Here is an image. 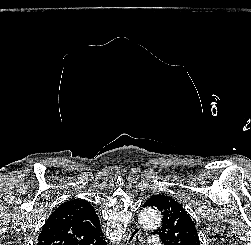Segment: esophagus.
Wrapping results in <instances>:
<instances>
[{
    "instance_id": "1",
    "label": "esophagus",
    "mask_w": 251,
    "mask_h": 245,
    "mask_svg": "<svg viewBox=\"0 0 251 245\" xmlns=\"http://www.w3.org/2000/svg\"><path fill=\"white\" fill-rule=\"evenodd\" d=\"M141 234V228L140 226L136 225L133 226L128 233V238L127 241L125 243V245H138V239L140 237Z\"/></svg>"
}]
</instances>
